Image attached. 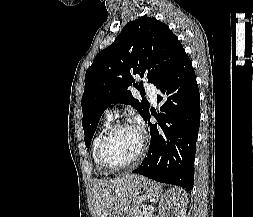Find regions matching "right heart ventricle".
Masks as SVG:
<instances>
[{
	"mask_svg": "<svg viewBox=\"0 0 253 217\" xmlns=\"http://www.w3.org/2000/svg\"><path fill=\"white\" fill-rule=\"evenodd\" d=\"M111 121H112V118L106 116L100 130L96 134V136L93 140V143H92L93 160H94V163H95V166H96V169H97L98 173L101 174V175H106L107 173L102 171L101 168L99 167L98 160H97V148H98V144H99V141H100L101 137L103 136L105 131L111 126Z\"/></svg>",
	"mask_w": 253,
	"mask_h": 217,
	"instance_id": "obj_1",
	"label": "right heart ventricle"
}]
</instances>
